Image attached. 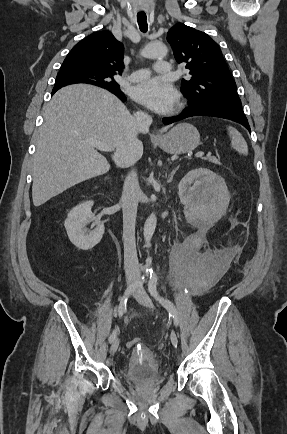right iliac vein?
<instances>
[{
	"label": "right iliac vein",
	"instance_id": "1",
	"mask_svg": "<svg viewBox=\"0 0 287 434\" xmlns=\"http://www.w3.org/2000/svg\"><path fill=\"white\" fill-rule=\"evenodd\" d=\"M131 284H132V283H129V284H128V287H129ZM118 347H119V339L116 338V339H114L113 342L111 343V346H110V353H111V354H114V353L117 351Z\"/></svg>",
	"mask_w": 287,
	"mask_h": 434
}]
</instances>
